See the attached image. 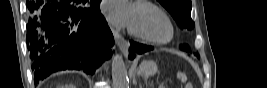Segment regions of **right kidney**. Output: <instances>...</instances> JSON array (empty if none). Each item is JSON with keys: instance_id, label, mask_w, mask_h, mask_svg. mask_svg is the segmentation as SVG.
<instances>
[{"instance_id": "right-kidney-1", "label": "right kidney", "mask_w": 267, "mask_h": 88, "mask_svg": "<svg viewBox=\"0 0 267 88\" xmlns=\"http://www.w3.org/2000/svg\"><path fill=\"white\" fill-rule=\"evenodd\" d=\"M60 88H75L74 85H65V86H61Z\"/></svg>"}]
</instances>
